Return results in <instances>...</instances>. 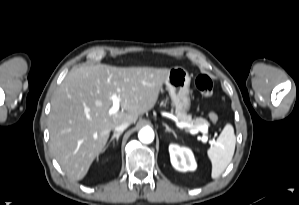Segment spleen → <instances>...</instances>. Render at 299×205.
Returning <instances> with one entry per match:
<instances>
[{
	"instance_id": "spleen-1",
	"label": "spleen",
	"mask_w": 299,
	"mask_h": 205,
	"mask_svg": "<svg viewBox=\"0 0 299 205\" xmlns=\"http://www.w3.org/2000/svg\"><path fill=\"white\" fill-rule=\"evenodd\" d=\"M236 144L234 128L227 124L217 138L216 144L210 147L207 155L212 163L211 177L216 179L230 164Z\"/></svg>"
}]
</instances>
